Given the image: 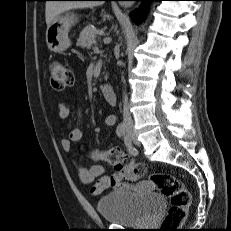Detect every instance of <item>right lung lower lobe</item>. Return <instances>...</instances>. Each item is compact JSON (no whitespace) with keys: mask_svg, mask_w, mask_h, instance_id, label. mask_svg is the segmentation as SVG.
Returning <instances> with one entry per match:
<instances>
[{"mask_svg":"<svg viewBox=\"0 0 231 231\" xmlns=\"http://www.w3.org/2000/svg\"><path fill=\"white\" fill-rule=\"evenodd\" d=\"M139 1H144V2H148V1H153V0H139ZM143 12V6L141 8H139L138 10H135L134 12L131 13V19L136 22L138 21V19L140 18L141 14Z\"/></svg>","mask_w":231,"mask_h":231,"instance_id":"98d812e1","label":"right lung lower lobe"}]
</instances>
